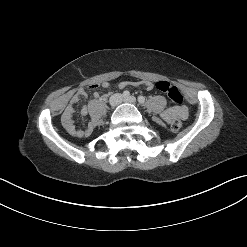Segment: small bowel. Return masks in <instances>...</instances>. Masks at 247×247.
Returning <instances> with one entry per match:
<instances>
[{
  "mask_svg": "<svg viewBox=\"0 0 247 247\" xmlns=\"http://www.w3.org/2000/svg\"><path fill=\"white\" fill-rule=\"evenodd\" d=\"M109 82L104 81L100 84H92L90 85L91 89H96L98 87H103V88H108L109 87ZM136 85H143L145 87L146 90H151L153 89V83L149 80H143L141 82H121L120 83V88H125L127 86H136ZM86 96V92L83 88H79L76 90V92L71 96L69 104L67 105V107L65 108L63 114H62V125L65 128V130L72 136L78 137V138H84L89 136L94 128V124L93 123H88V125L83 128V129H78L76 128L74 121H73V114H74V108L73 105L81 98V97H85ZM93 97L95 99H98L100 97L98 92H94L93 93ZM88 106L84 105L81 110L80 113L85 116L88 114ZM188 115V109L186 106L184 105H180V106H173L168 108L167 110H165L162 113V117L163 119L167 122V123H171L173 121V119H186Z\"/></svg>",
  "mask_w": 247,
  "mask_h": 247,
  "instance_id": "1",
  "label": "small bowel"
}]
</instances>
